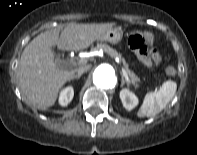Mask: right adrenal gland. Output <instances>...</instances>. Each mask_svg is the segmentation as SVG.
Returning <instances> with one entry per match:
<instances>
[{"instance_id":"right-adrenal-gland-1","label":"right adrenal gland","mask_w":197,"mask_h":155,"mask_svg":"<svg viewBox=\"0 0 197 155\" xmlns=\"http://www.w3.org/2000/svg\"><path fill=\"white\" fill-rule=\"evenodd\" d=\"M80 77H81V75L77 74V75H74L71 80H74V79H77V78H80Z\"/></svg>"}]
</instances>
